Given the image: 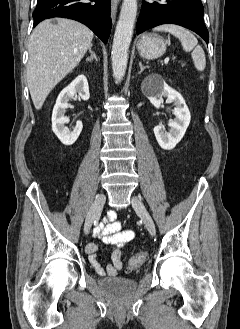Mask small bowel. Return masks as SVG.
Segmentation results:
<instances>
[{
  "mask_svg": "<svg viewBox=\"0 0 240 329\" xmlns=\"http://www.w3.org/2000/svg\"><path fill=\"white\" fill-rule=\"evenodd\" d=\"M116 213L109 211L106 221L98 225L95 234L100 237L104 244L111 248L110 263L103 267L98 259L97 252L100 247L96 243H89L86 252L89 255V263L100 275L117 276L123 267L121 248L134 238V231L123 229L121 222L116 220Z\"/></svg>",
  "mask_w": 240,
  "mask_h": 329,
  "instance_id": "1",
  "label": "small bowel"
}]
</instances>
